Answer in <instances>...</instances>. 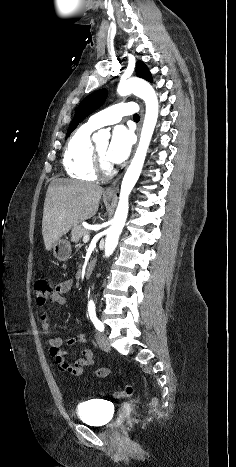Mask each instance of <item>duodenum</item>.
I'll use <instances>...</instances> for the list:
<instances>
[{"mask_svg":"<svg viewBox=\"0 0 236 467\" xmlns=\"http://www.w3.org/2000/svg\"><path fill=\"white\" fill-rule=\"evenodd\" d=\"M94 267H95V264L93 261H90L87 263L85 270H84L85 277H89L92 274Z\"/></svg>","mask_w":236,"mask_h":467,"instance_id":"duodenum-1","label":"duodenum"}]
</instances>
